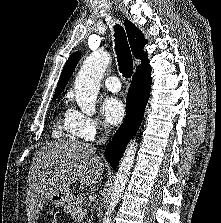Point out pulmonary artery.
<instances>
[{"mask_svg": "<svg viewBox=\"0 0 221 223\" xmlns=\"http://www.w3.org/2000/svg\"><path fill=\"white\" fill-rule=\"evenodd\" d=\"M104 85L112 92H118L121 89V84L117 76L111 75L104 79Z\"/></svg>", "mask_w": 221, "mask_h": 223, "instance_id": "1", "label": "pulmonary artery"}]
</instances>
